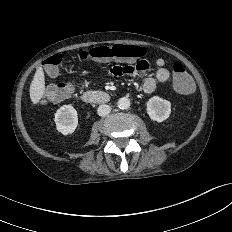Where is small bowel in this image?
Listing matches in <instances>:
<instances>
[{"label": "small bowel", "instance_id": "c3829d8e", "mask_svg": "<svg viewBox=\"0 0 232 232\" xmlns=\"http://www.w3.org/2000/svg\"><path fill=\"white\" fill-rule=\"evenodd\" d=\"M157 66V71L155 76H146L143 80L142 90L145 94H151L155 91L157 83H163L169 80L170 72L165 67V60L161 57L155 60ZM149 69V62L147 60H141L136 65H127V66H113L108 70V74L111 76L119 77L123 75H132V76H143L146 71ZM51 76V78L56 77Z\"/></svg>", "mask_w": 232, "mask_h": 232}]
</instances>
